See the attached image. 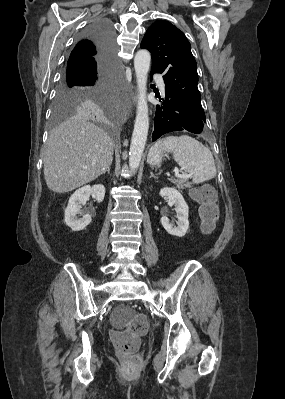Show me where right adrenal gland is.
<instances>
[{
	"label": "right adrenal gland",
	"instance_id": "2a0ac1e0",
	"mask_svg": "<svg viewBox=\"0 0 285 399\" xmlns=\"http://www.w3.org/2000/svg\"><path fill=\"white\" fill-rule=\"evenodd\" d=\"M106 172H107L108 174L110 173V166L104 171V173H106Z\"/></svg>",
	"mask_w": 285,
	"mask_h": 399
}]
</instances>
